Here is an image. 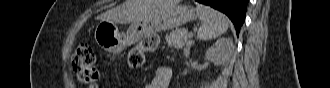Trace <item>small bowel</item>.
Returning a JSON list of instances; mask_svg holds the SVG:
<instances>
[{"label":"small bowel","instance_id":"c3829d8e","mask_svg":"<svg viewBox=\"0 0 330 88\" xmlns=\"http://www.w3.org/2000/svg\"><path fill=\"white\" fill-rule=\"evenodd\" d=\"M171 79V70L167 67L156 69L151 82L145 84V88H167Z\"/></svg>","mask_w":330,"mask_h":88}]
</instances>
